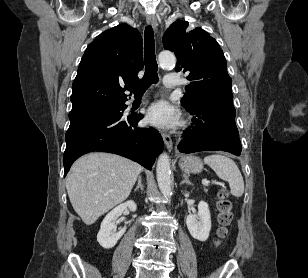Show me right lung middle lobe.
Listing matches in <instances>:
<instances>
[{
  "label": "right lung middle lobe",
  "mask_w": 308,
  "mask_h": 278,
  "mask_svg": "<svg viewBox=\"0 0 308 278\" xmlns=\"http://www.w3.org/2000/svg\"><path fill=\"white\" fill-rule=\"evenodd\" d=\"M121 107H122V104L113 105V106H109V107H105V108H102V109H98V110L92 111L90 113H93V112H99V113H102V114H112V113H115V112L118 113L119 110L121 109Z\"/></svg>",
  "instance_id": "dd1d6c3e"
}]
</instances>
